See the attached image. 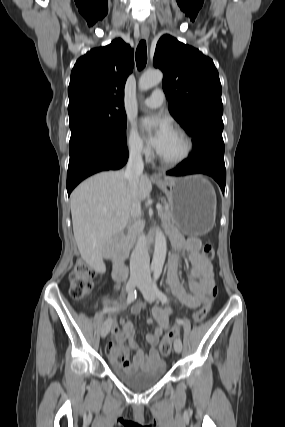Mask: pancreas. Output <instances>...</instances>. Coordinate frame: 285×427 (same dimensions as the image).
<instances>
[{
  "instance_id": "pancreas-1",
  "label": "pancreas",
  "mask_w": 285,
  "mask_h": 427,
  "mask_svg": "<svg viewBox=\"0 0 285 427\" xmlns=\"http://www.w3.org/2000/svg\"><path fill=\"white\" fill-rule=\"evenodd\" d=\"M158 215L163 222H170L172 218L170 206L164 203L163 207L160 210H158ZM143 229H144V224H139L138 226H134L129 230V233L126 239V245L128 247H132L134 245L136 237L143 231Z\"/></svg>"
}]
</instances>
